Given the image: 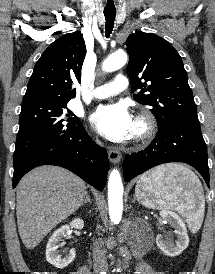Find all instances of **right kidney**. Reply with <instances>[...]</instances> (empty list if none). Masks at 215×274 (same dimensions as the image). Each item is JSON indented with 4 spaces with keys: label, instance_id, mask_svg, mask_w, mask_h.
<instances>
[{
    "label": "right kidney",
    "instance_id": "right-kidney-1",
    "mask_svg": "<svg viewBox=\"0 0 215 274\" xmlns=\"http://www.w3.org/2000/svg\"><path fill=\"white\" fill-rule=\"evenodd\" d=\"M84 221L80 218L74 219L69 225H63L57 229L50 237L46 246V260L56 268L63 269L67 267L75 258L76 251L71 249L65 255L59 254V248L63 245V238H66L70 232V227L82 229Z\"/></svg>",
    "mask_w": 215,
    "mask_h": 274
}]
</instances>
